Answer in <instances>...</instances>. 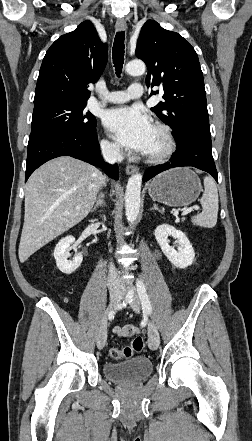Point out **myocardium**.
Listing matches in <instances>:
<instances>
[{
    "mask_svg": "<svg viewBox=\"0 0 252 441\" xmlns=\"http://www.w3.org/2000/svg\"><path fill=\"white\" fill-rule=\"evenodd\" d=\"M154 128L161 134L164 140V148L158 153H146L145 157L152 163H160L167 160L173 154L175 149V139L169 126L163 123H156Z\"/></svg>",
    "mask_w": 252,
    "mask_h": 441,
    "instance_id": "myocardium-1",
    "label": "myocardium"
}]
</instances>
